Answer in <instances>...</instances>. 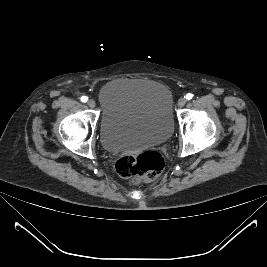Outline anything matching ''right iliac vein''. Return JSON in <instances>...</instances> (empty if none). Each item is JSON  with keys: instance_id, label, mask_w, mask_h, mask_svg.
Returning a JSON list of instances; mask_svg holds the SVG:
<instances>
[{"instance_id": "right-iliac-vein-1", "label": "right iliac vein", "mask_w": 267, "mask_h": 267, "mask_svg": "<svg viewBox=\"0 0 267 267\" xmlns=\"http://www.w3.org/2000/svg\"><path fill=\"white\" fill-rule=\"evenodd\" d=\"M87 104H88V106L90 108H94L95 105H96V103H95V101L93 99H89L88 102H87Z\"/></svg>"}]
</instances>
